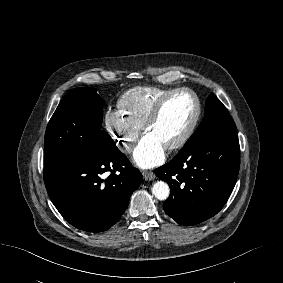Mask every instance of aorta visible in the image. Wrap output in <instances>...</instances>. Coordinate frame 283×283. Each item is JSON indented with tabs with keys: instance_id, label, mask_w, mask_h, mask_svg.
<instances>
[{
	"instance_id": "aorta-1",
	"label": "aorta",
	"mask_w": 283,
	"mask_h": 283,
	"mask_svg": "<svg viewBox=\"0 0 283 283\" xmlns=\"http://www.w3.org/2000/svg\"><path fill=\"white\" fill-rule=\"evenodd\" d=\"M152 193L158 200H166L169 196L170 189L166 182L157 181L152 186Z\"/></svg>"
}]
</instances>
